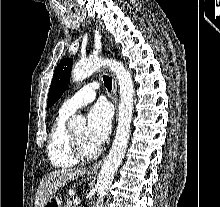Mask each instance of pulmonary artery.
Masks as SVG:
<instances>
[{
  "instance_id": "obj_1",
  "label": "pulmonary artery",
  "mask_w": 220,
  "mask_h": 207,
  "mask_svg": "<svg viewBox=\"0 0 220 207\" xmlns=\"http://www.w3.org/2000/svg\"><path fill=\"white\" fill-rule=\"evenodd\" d=\"M98 88L99 84L97 82H92L85 85L74 95L63 102L60 111L66 114H72L77 109L92 102L96 97Z\"/></svg>"
}]
</instances>
